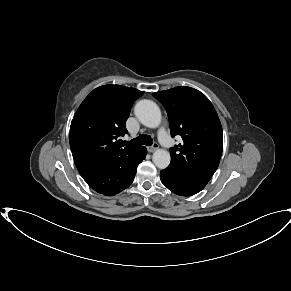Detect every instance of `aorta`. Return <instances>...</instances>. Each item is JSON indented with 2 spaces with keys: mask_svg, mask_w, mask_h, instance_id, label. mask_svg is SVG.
I'll return each mask as SVG.
<instances>
[{
  "mask_svg": "<svg viewBox=\"0 0 291 291\" xmlns=\"http://www.w3.org/2000/svg\"><path fill=\"white\" fill-rule=\"evenodd\" d=\"M136 118L146 127L156 128L161 123V111L151 100H140L134 108ZM153 163L159 169H165L170 164V153L164 149H157L152 156Z\"/></svg>",
  "mask_w": 291,
  "mask_h": 291,
  "instance_id": "762f6f07",
  "label": "aorta"
}]
</instances>
